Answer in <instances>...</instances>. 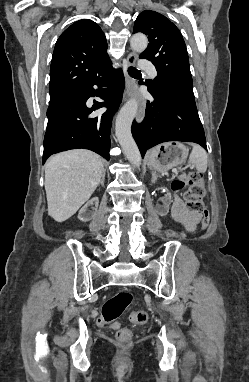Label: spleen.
Listing matches in <instances>:
<instances>
[{
    "instance_id": "spleen-1",
    "label": "spleen",
    "mask_w": 249,
    "mask_h": 382,
    "mask_svg": "<svg viewBox=\"0 0 249 382\" xmlns=\"http://www.w3.org/2000/svg\"><path fill=\"white\" fill-rule=\"evenodd\" d=\"M207 153L199 145H193L189 156V163L196 167L199 173H204L207 170Z\"/></svg>"
}]
</instances>
